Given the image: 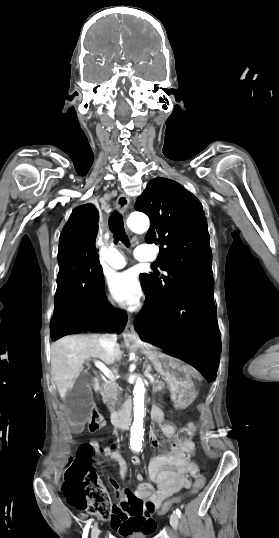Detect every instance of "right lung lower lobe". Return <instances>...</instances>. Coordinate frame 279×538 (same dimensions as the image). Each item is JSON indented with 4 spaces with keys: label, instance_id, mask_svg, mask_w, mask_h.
<instances>
[{
    "label": "right lung lower lobe",
    "instance_id": "98d812e1",
    "mask_svg": "<svg viewBox=\"0 0 279 538\" xmlns=\"http://www.w3.org/2000/svg\"><path fill=\"white\" fill-rule=\"evenodd\" d=\"M98 212L92 204L75 209L59 239L60 266L51 320V337L88 330L98 331L104 324H117V332L127 323L125 311L112 309L106 301L104 279L95 239Z\"/></svg>",
    "mask_w": 279,
    "mask_h": 538
}]
</instances>
